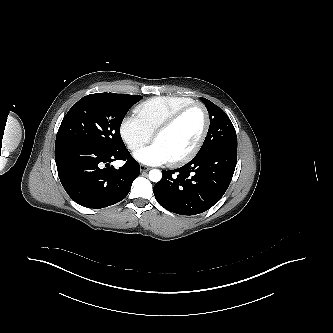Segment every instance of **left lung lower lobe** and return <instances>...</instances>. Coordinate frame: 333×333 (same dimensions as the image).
<instances>
[{
	"instance_id": "0a47b994",
	"label": "left lung lower lobe",
	"mask_w": 333,
	"mask_h": 333,
	"mask_svg": "<svg viewBox=\"0 0 333 333\" xmlns=\"http://www.w3.org/2000/svg\"><path fill=\"white\" fill-rule=\"evenodd\" d=\"M237 162V147L225 146L198 153L175 170L162 171L154 186L157 202L180 215L203 213L226 192Z\"/></svg>"
}]
</instances>
